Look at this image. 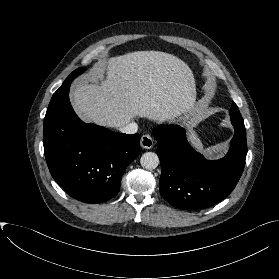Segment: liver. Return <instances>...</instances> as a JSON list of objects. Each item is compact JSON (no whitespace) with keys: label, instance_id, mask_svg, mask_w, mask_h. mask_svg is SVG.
Instances as JSON below:
<instances>
[{"label":"liver","instance_id":"6515ba94","mask_svg":"<svg viewBox=\"0 0 279 279\" xmlns=\"http://www.w3.org/2000/svg\"><path fill=\"white\" fill-rule=\"evenodd\" d=\"M78 116L95 124L121 128L140 117L173 122L193 110L196 85L189 66L160 51H137L105 58L71 93ZM198 147L201 143L191 135Z\"/></svg>","mask_w":279,"mask_h":279}]
</instances>
